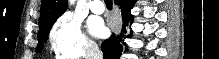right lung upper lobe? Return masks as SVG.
<instances>
[{
    "mask_svg": "<svg viewBox=\"0 0 219 59\" xmlns=\"http://www.w3.org/2000/svg\"><path fill=\"white\" fill-rule=\"evenodd\" d=\"M67 8V0H42L39 28L54 24Z\"/></svg>",
    "mask_w": 219,
    "mask_h": 59,
    "instance_id": "cb5924a9",
    "label": "right lung upper lobe"
}]
</instances>
